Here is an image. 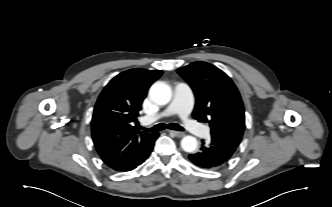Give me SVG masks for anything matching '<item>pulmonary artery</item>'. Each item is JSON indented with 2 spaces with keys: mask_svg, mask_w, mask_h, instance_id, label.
I'll use <instances>...</instances> for the list:
<instances>
[{
  "mask_svg": "<svg viewBox=\"0 0 332 207\" xmlns=\"http://www.w3.org/2000/svg\"><path fill=\"white\" fill-rule=\"evenodd\" d=\"M193 106L194 96L192 90L187 84L179 82L174 87V97L170 105L160 113L144 117V122L153 123L165 117L178 115L189 132L200 137H207L210 132L208 126L189 118Z\"/></svg>",
  "mask_w": 332,
  "mask_h": 207,
  "instance_id": "e3ab8cb5",
  "label": "pulmonary artery"
}]
</instances>
